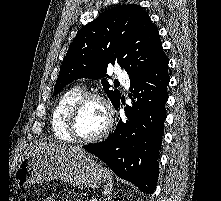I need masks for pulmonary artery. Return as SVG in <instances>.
<instances>
[{"label": "pulmonary artery", "mask_w": 221, "mask_h": 201, "mask_svg": "<svg viewBox=\"0 0 221 201\" xmlns=\"http://www.w3.org/2000/svg\"><path fill=\"white\" fill-rule=\"evenodd\" d=\"M117 78L119 81H121L124 84H128V75L123 70H118L117 72Z\"/></svg>", "instance_id": "obj_1"}]
</instances>
